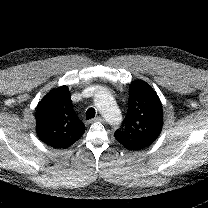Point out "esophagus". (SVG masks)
<instances>
[{"instance_id":"34e87169","label":"esophagus","mask_w":208,"mask_h":208,"mask_svg":"<svg viewBox=\"0 0 208 208\" xmlns=\"http://www.w3.org/2000/svg\"><path fill=\"white\" fill-rule=\"evenodd\" d=\"M94 121L105 122L106 120L101 116H97L95 117Z\"/></svg>"}]
</instances>
